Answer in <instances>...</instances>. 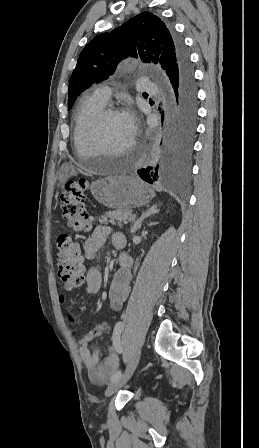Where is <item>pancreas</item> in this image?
Instances as JSON below:
<instances>
[{
	"label": "pancreas",
	"instance_id": "1",
	"mask_svg": "<svg viewBox=\"0 0 259 448\" xmlns=\"http://www.w3.org/2000/svg\"><path fill=\"white\" fill-rule=\"evenodd\" d=\"M133 218L129 210H116V212H105V216H101L99 222L100 224H113V226H122V222H125L127 218Z\"/></svg>",
	"mask_w": 259,
	"mask_h": 448
}]
</instances>
